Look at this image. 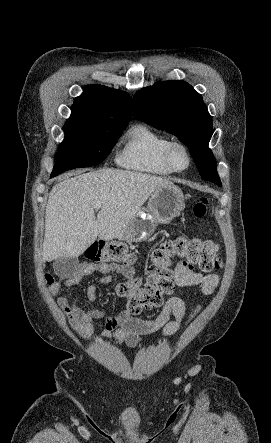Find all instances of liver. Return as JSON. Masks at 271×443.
<instances>
[{
    "mask_svg": "<svg viewBox=\"0 0 271 443\" xmlns=\"http://www.w3.org/2000/svg\"><path fill=\"white\" fill-rule=\"evenodd\" d=\"M170 184L150 174L110 168L64 174L46 206L43 261L78 257L96 237H119L153 192ZM95 204H101L97 218Z\"/></svg>",
    "mask_w": 271,
    "mask_h": 443,
    "instance_id": "obj_1",
    "label": "liver"
}]
</instances>
